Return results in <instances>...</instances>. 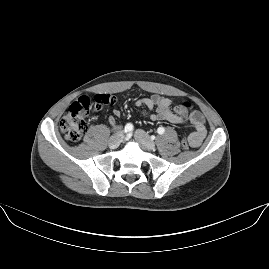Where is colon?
I'll return each instance as SVG.
<instances>
[{
	"label": "colon",
	"instance_id": "colon-1",
	"mask_svg": "<svg viewBox=\"0 0 269 269\" xmlns=\"http://www.w3.org/2000/svg\"><path fill=\"white\" fill-rule=\"evenodd\" d=\"M110 103L111 98L107 95L94 98L87 95L80 96L61 119L60 131L63 136L74 142L83 139L89 126V115L102 109L103 104ZM181 106L191 109V104L185 100L181 101ZM180 146L183 149L189 146V140L185 135H182Z\"/></svg>",
	"mask_w": 269,
	"mask_h": 269
}]
</instances>
